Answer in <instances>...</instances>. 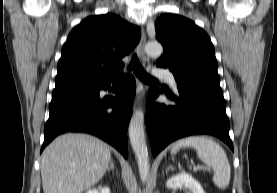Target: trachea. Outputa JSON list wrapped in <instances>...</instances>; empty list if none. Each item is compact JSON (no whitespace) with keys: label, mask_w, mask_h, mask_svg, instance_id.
I'll return each mask as SVG.
<instances>
[{"label":"trachea","mask_w":277,"mask_h":193,"mask_svg":"<svg viewBox=\"0 0 277 193\" xmlns=\"http://www.w3.org/2000/svg\"><path fill=\"white\" fill-rule=\"evenodd\" d=\"M129 70H133L134 73L136 74V76L146 82V83H158V81L153 78L152 76H150L144 69L143 67L140 65L138 57L136 54H133L131 62L128 66Z\"/></svg>","instance_id":"1"}]
</instances>
